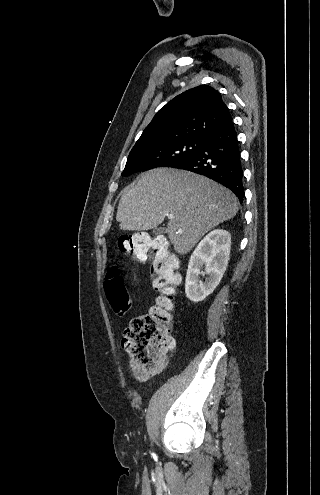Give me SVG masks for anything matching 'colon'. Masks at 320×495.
<instances>
[{"instance_id":"1","label":"colon","mask_w":320,"mask_h":495,"mask_svg":"<svg viewBox=\"0 0 320 495\" xmlns=\"http://www.w3.org/2000/svg\"><path fill=\"white\" fill-rule=\"evenodd\" d=\"M118 247L134 261L151 262L153 287L163 294L149 313L130 321L122 337V347L130 358L131 372L138 381H143L166 367L174 345L167 334L166 324L173 307L172 295L180 282L178 263L164 238L151 237L146 232L121 236ZM103 286L114 312L125 314L131 301L118 268L112 267L107 272Z\"/></svg>"}]
</instances>
